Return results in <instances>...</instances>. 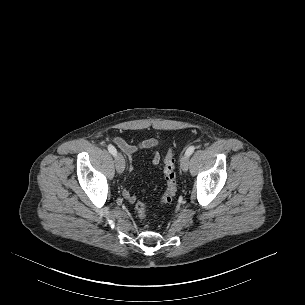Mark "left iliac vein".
Segmentation results:
<instances>
[{
  "label": "left iliac vein",
  "instance_id": "4c4485c4",
  "mask_svg": "<svg viewBox=\"0 0 305 305\" xmlns=\"http://www.w3.org/2000/svg\"><path fill=\"white\" fill-rule=\"evenodd\" d=\"M181 169L186 172L189 167V156L184 154L180 160Z\"/></svg>",
  "mask_w": 305,
  "mask_h": 305
}]
</instances>
